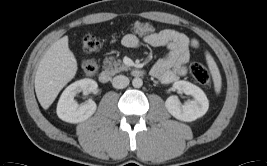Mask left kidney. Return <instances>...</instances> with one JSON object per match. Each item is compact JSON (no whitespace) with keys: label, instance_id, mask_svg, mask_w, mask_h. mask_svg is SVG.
<instances>
[{"label":"left kidney","instance_id":"obj_1","mask_svg":"<svg viewBox=\"0 0 267 166\" xmlns=\"http://www.w3.org/2000/svg\"><path fill=\"white\" fill-rule=\"evenodd\" d=\"M173 88L194 98V100L186 101L183 104L177 96L172 95L167 98L165 107L176 119L191 122L202 117L207 112L209 101L205 93L198 86L181 80L175 82Z\"/></svg>","mask_w":267,"mask_h":166}]
</instances>
